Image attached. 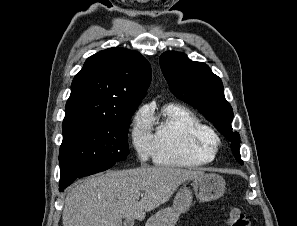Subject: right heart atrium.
Masks as SVG:
<instances>
[{
	"mask_svg": "<svg viewBox=\"0 0 297 226\" xmlns=\"http://www.w3.org/2000/svg\"><path fill=\"white\" fill-rule=\"evenodd\" d=\"M151 124L150 112L147 109H140L135 113L131 127V142L142 161L153 156Z\"/></svg>",
	"mask_w": 297,
	"mask_h": 226,
	"instance_id": "1",
	"label": "right heart atrium"
}]
</instances>
